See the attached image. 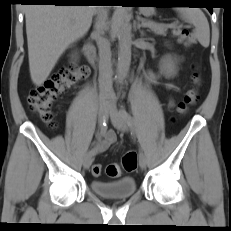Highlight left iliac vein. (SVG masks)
Listing matches in <instances>:
<instances>
[{
	"label": "left iliac vein",
	"instance_id": "obj_1",
	"mask_svg": "<svg viewBox=\"0 0 231 231\" xmlns=\"http://www.w3.org/2000/svg\"><path fill=\"white\" fill-rule=\"evenodd\" d=\"M108 107H109V117L113 126L118 130L127 131L128 127L126 124V120L118 111L115 101L111 100L108 104ZM139 165L142 170L146 169L147 161L143 153L139 154Z\"/></svg>",
	"mask_w": 231,
	"mask_h": 231
}]
</instances>
